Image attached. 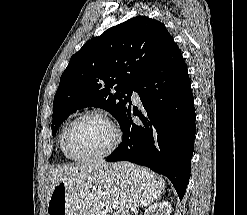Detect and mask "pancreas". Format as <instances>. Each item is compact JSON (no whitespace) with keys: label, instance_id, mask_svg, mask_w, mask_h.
I'll return each mask as SVG.
<instances>
[{"label":"pancreas","instance_id":"cf45deb5","mask_svg":"<svg viewBox=\"0 0 247 215\" xmlns=\"http://www.w3.org/2000/svg\"><path fill=\"white\" fill-rule=\"evenodd\" d=\"M111 215H128V212L125 210H120L117 212H112Z\"/></svg>","mask_w":247,"mask_h":215}]
</instances>
